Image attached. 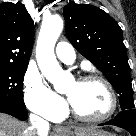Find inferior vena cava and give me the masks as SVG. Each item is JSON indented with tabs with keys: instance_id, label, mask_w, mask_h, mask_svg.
Returning a JSON list of instances; mask_svg holds the SVG:
<instances>
[{
	"instance_id": "obj_1",
	"label": "inferior vena cava",
	"mask_w": 136,
	"mask_h": 136,
	"mask_svg": "<svg viewBox=\"0 0 136 136\" xmlns=\"http://www.w3.org/2000/svg\"><path fill=\"white\" fill-rule=\"evenodd\" d=\"M31 129L37 136H47L49 130V123L35 114L30 115Z\"/></svg>"
}]
</instances>
